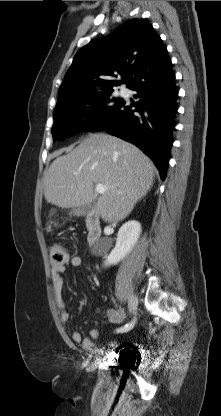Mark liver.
I'll return each instance as SVG.
<instances>
[{
    "label": "liver",
    "instance_id": "1",
    "mask_svg": "<svg viewBox=\"0 0 221 416\" xmlns=\"http://www.w3.org/2000/svg\"><path fill=\"white\" fill-rule=\"evenodd\" d=\"M156 168L136 146L105 133L89 134L68 154L57 157L43 180L48 203L77 208L93 201L95 184L107 190L96 210L108 223L125 219L153 185ZM53 212V211H52Z\"/></svg>",
    "mask_w": 221,
    "mask_h": 416
}]
</instances>
